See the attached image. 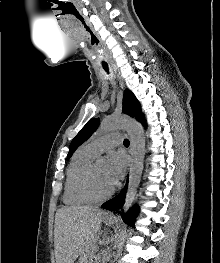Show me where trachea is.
Returning <instances> with one entry per match:
<instances>
[{
  "label": "trachea",
  "instance_id": "1",
  "mask_svg": "<svg viewBox=\"0 0 220 263\" xmlns=\"http://www.w3.org/2000/svg\"><path fill=\"white\" fill-rule=\"evenodd\" d=\"M103 68L106 72H109V68H108V65H103ZM124 145L125 146H129V140L128 139H125L124 140Z\"/></svg>",
  "mask_w": 220,
  "mask_h": 263
}]
</instances>
